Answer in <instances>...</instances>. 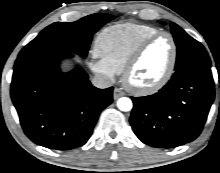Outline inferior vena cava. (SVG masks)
Instances as JSON below:
<instances>
[{"mask_svg":"<svg viewBox=\"0 0 220 173\" xmlns=\"http://www.w3.org/2000/svg\"><path fill=\"white\" fill-rule=\"evenodd\" d=\"M112 84L113 80L102 74H96L92 79V85L100 89L108 88Z\"/></svg>","mask_w":220,"mask_h":173,"instance_id":"inferior-vena-cava-1","label":"inferior vena cava"}]
</instances>
